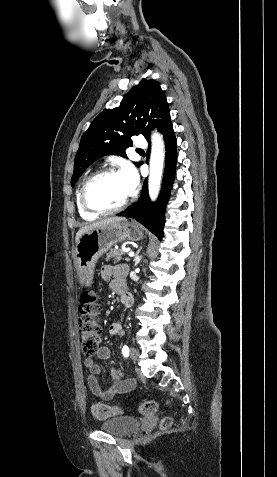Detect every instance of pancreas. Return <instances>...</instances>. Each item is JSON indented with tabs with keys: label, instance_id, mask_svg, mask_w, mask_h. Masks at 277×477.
Segmentation results:
<instances>
[{
	"label": "pancreas",
	"instance_id": "obj_1",
	"mask_svg": "<svg viewBox=\"0 0 277 477\" xmlns=\"http://www.w3.org/2000/svg\"><path fill=\"white\" fill-rule=\"evenodd\" d=\"M124 253H125L124 251L119 250V249H111L110 252L107 253L106 259L107 260H113L114 262H119V261L122 260V255ZM125 260L128 261L129 259L126 258Z\"/></svg>",
	"mask_w": 277,
	"mask_h": 477
}]
</instances>
